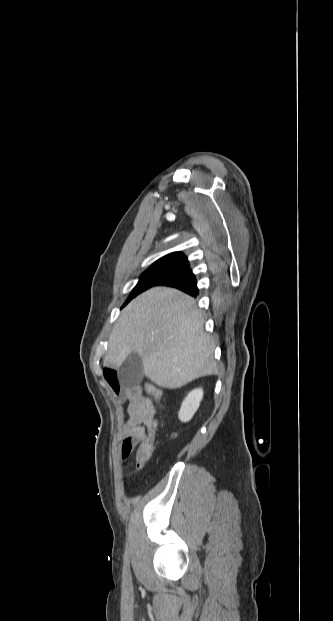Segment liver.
<instances>
[{
    "mask_svg": "<svg viewBox=\"0 0 333 621\" xmlns=\"http://www.w3.org/2000/svg\"><path fill=\"white\" fill-rule=\"evenodd\" d=\"M214 348L195 300L174 288L154 287L123 309L109 337L104 365L119 368L136 353L147 378L176 389L217 372Z\"/></svg>",
    "mask_w": 333,
    "mask_h": 621,
    "instance_id": "6515ba94",
    "label": "liver"
}]
</instances>
